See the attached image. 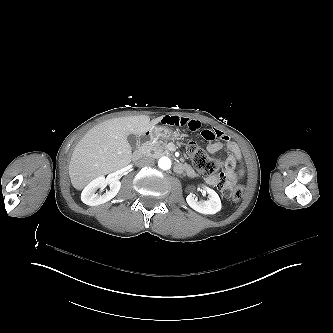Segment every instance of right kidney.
Wrapping results in <instances>:
<instances>
[{"label": "right kidney", "mask_w": 333, "mask_h": 333, "mask_svg": "<svg viewBox=\"0 0 333 333\" xmlns=\"http://www.w3.org/2000/svg\"><path fill=\"white\" fill-rule=\"evenodd\" d=\"M110 186V190L99 195L96 193L97 189ZM121 182L115 178L106 179L104 176L97 177L92 180L82 191L81 200L89 206H97L110 201L119 192Z\"/></svg>", "instance_id": "1"}]
</instances>
